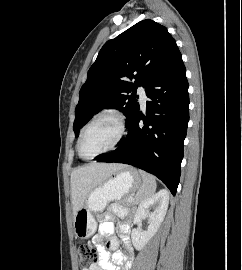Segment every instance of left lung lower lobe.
Returning <instances> with one entry per match:
<instances>
[{
  "instance_id": "left-lung-lower-lobe-1",
  "label": "left lung lower lobe",
  "mask_w": 242,
  "mask_h": 270,
  "mask_svg": "<svg viewBox=\"0 0 242 270\" xmlns=\"http://www.w3.org/2000/svg\"><path fill=\"white\" fill-rule=\"evenodd\" d=\"M146 117L136 113L120 146L95 159L129 164L158 177L173 195L179 184L183 143L189 121L186 69L180 55L154 77L146 89ZM140 120L144 125L139 126Z\"/></svg>"
}]
</instances>
